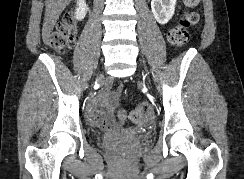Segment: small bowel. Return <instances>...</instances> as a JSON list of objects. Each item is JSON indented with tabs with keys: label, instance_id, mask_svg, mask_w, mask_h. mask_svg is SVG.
I'll return each instance as SVG.
<instances>
[{
	"label": "small bowel",
	"instance_id": "obj_1",
	"mask_svg": "<svg viewBox=\"0 0 244 179\" xmlns=\"http://www.w3.org/2000/svg\"><path fill=\"white\" fill-rule=\"evenodd\" d=\"M123 90V86L119 85L118 92H111L106 95L104 99H101L97 105V110L92 111L91 115L94 118L96 124L103 128H110L113 126H121L125 121H115L114 116L112 114L113 110H117L118 102H119V93ZM147 115L144 114H132V116H143L142 127L148 121H154V116H148L151 114L150 110L146 111ZM120 116H125L120 115Z\"/></svg>",
	"mask_w": 244,
	"mask_h": 179
}]
</instances>
